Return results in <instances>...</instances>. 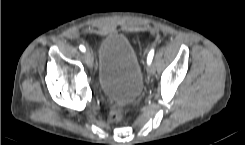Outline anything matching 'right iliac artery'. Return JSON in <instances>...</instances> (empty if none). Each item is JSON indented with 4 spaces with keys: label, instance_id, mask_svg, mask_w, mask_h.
<instances>
[{
    "label": "right iliac artery",
    "instance_id": "right-iliac-artery-1",
    "mask_svg": "<svg viewBox=\"0 0 245 145\" xmlns=\"http://www.w3.org/2000/svg\"><path fill=\"white\" fill-rule=\"evenodd\" d=\"M79 49H80L82 52H85V51H86V49H85V47H84L83 45H80V46H79Z\"/></svg>",
    "mask_w": 245,
    "mask_h": 145
}]
</instances>
